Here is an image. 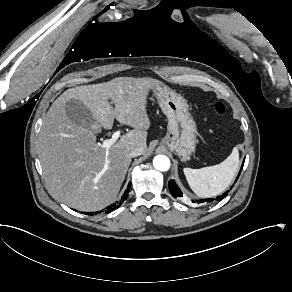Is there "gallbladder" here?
Returning <instances> with one entry per match:
<instances>
[{
	"mask_svg": "<svg viewBox=\"0 0 292 292\" xmlns=\"http://www.w3.org/2000/svg\"><path fill=\"white\" fill-rule=\"evenodd\" d=\"M65 112L72 123L86 126L94 121L90 110L80 101L71 99L66 103Z\"/></svg>",
	"mask_w": 292,
	"mask_h": 292,
	"instance_id": "bac80fb5",
	"label": "gallbladder"
}]
</instances>
